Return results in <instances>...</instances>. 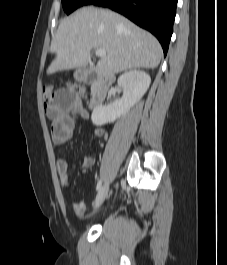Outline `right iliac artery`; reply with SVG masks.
Segmentation results:
<instances>
[{
  "label": "right iliac artery",
  "instance_id": "1",
  "mask_svg": "<svg viewBox=\"0 0 227 265\" xmlns=\"http://www.w3.org/2000/svg\"><path fill=\"white\" fill-rule=\"evenodd\" d=\"M101 186H102V180H99L97 183L96 190L99 191L101 189Z\"/></svg>",
  "mask_w": 227,
  "mask_h": 265
}]
</instances>
